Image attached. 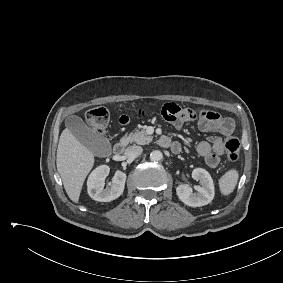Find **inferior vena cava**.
I'll return each instance as SVG.
<instances>
[{
	"label": "inferior vena cava",
	"mask_w": 283,
	"mask_h": 283,
	"mask_svg": "<svg viewBox=\"0 0 283 283\" xmlns=\"http://www.w3.org/2000/svg\"><path fill=\"white\" fill-rule=\"evenodd\" d=\"M142 151H143L142 147L134 145V146H129L126 149L125 153L129 158H136L142 153Z\"/></svg>",
	"instance_id": "inferior-vena-cava-1"
}]
</instances>
